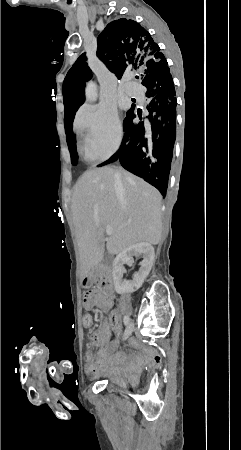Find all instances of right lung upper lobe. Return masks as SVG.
I'll return each mask as SVG.
<instances>
[{
    "instance_id": "obj_1",
    "label": "right lung upper lobe",
    "mask_w": 241,
    "mask_h": 450,
    "mask_svg": "<svg viewBox=\"0 0 241 450\" xmlns=\"http://www.w3.org/2000/svg\"><path fill=\"white\" fill-rule=\"evenodd\" d=\"M97 44V57L118 79L124 73L136 69L143 72L152 66L167 63L149 32L133 20L122 18L110 22L98 36ZM69 72L80 75L87 81L91 78L85 53L77 59Z\"/></svg>"
}]
</instances>
